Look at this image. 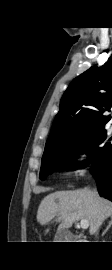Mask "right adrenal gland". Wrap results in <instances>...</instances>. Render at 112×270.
Wrapping results in <instances>:
<instances>
[{"instance_id":"1","label":"right adrenal gland","mask_w":112,"mask_h":270,"mask_svg":"<svg viewBox=\"0 0 112 270\" xmlns=\"http://www.w3.org/2000/svg\"><path fill=\"white\" fill-rule=\"evenodd\" d=\"M112 226V216L111 219L108 223V226L106 227V229L103 231L102 236H104L106 234V232L108 231V229Z\"/></svg>"}]
</instances>
